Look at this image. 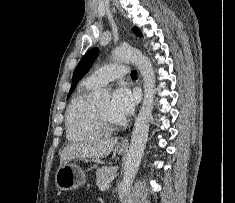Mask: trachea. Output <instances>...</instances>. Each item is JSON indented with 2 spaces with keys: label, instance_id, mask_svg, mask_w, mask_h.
<instances>
[{
  "label": "trachea",
  "instance_id": "trachea-1",
  "mask_svg": "<svg viewBox=\"0 0 235 203\" xmlns=\"http://www.w3.org/2000/svg\"><path fill=\"white\" fill-rule=\"evenodd\" d=\"M131 77H137V71L136 70L131 71Z\"/></svg>",
  "mask_w": 235,
  "mask_h": 203
}]
</instances>
